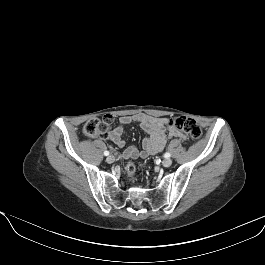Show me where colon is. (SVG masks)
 <instances>
[{"mask_svg":"<svg viewBox=\"0 0 265 265\" xmlns=\"http://www.w3.org/2000/svg\"><path fill=\"white\" fill-rule=\"evenodd\" d=\"M112 121L113 118L111 115H106L102 119H92L85 124L83 129L84 133L90 137L105 135L108 132ZM170 125L185 132L192 139L199 140L203 136L201 127L190 117H176L170 121ZM126 172L130 177L135 175L136 165L134 162H128L126 165Z\"/></svg>","mask_w":265,"mask_h":265,"instance_id":"colon-1","label":"colon"}]
</instances>
